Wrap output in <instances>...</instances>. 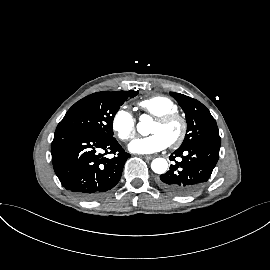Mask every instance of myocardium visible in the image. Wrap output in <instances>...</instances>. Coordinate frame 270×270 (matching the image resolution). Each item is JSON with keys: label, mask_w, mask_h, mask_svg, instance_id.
Segmentation results:
<instances>
[{"label": "myocardium", "mask_w": 270, "mask_h": 270, "mask_svg": "<svg viewBox=\"0 0 270 270\" xmlns=\"http://www.w3.org/2000/svg\"><path fill=\"white\" fill-rule=\"evenodd\" d=\"M155 121L161 124H168L174 121L179 122L181 125L180 133L175 140L169 143V145L171 147H178L183 143L187 135L188 123L182 115H180L178 112L168 113V114H164V115L156 117Z\"/></svg>", "instance_id": "1"}]
</instances>
